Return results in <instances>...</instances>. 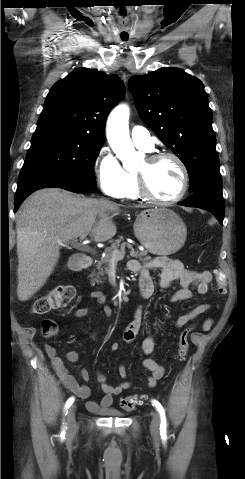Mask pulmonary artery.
Listing matches in <instances>:
<instances>
[{
    "mask_svg": "<svg viewBox=\"0 0 245 479\" xmlns=\"http://www.w3.org/2000/svg\"><path fill=\"white\" fill-rule=\"evenodd\" d=\"M131 139L137 147L143 150L149 151L152 148L150 133L144 127H141V126L133 127L131 130Z\"/></svg>",
    "mask_w": 245,
    "mask_h": 479,
    "instance_id": "pulmonary-artery-1",
    "label": "pulmonary artery"
}]
</instances>
